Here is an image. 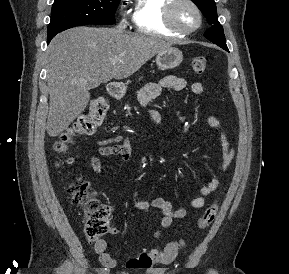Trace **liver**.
<instances>
[{
	"mask_svg": "<svg viewBox=\"0 0 289 274\" xmlns=\"http://www.w3.org/2000/svg\"><path fill=\"white\" fill-rule=\"evenodd\" d=\"M170 48L162 39L115 28L82 26L56 35L47 49L48 135L58 136L85 110L92 83L125 79Z\"/></svg>",
	"mask_w": 289,
	"mask_h": 274,
	"instance_id": "liver-1",
	"label": "liver"
}]
</instances>
